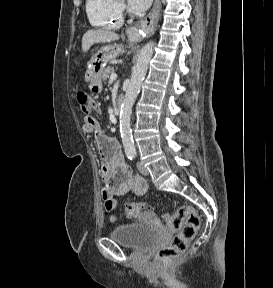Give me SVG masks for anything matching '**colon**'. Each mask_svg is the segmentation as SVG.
<instances>
[{
  "label": "colon",
  "instance_id": "1",
  "mask_svg": "<svg viewBox=\"0 0 273 288\" xmlns=\"http://www.w3.org/2000/svg\"><path fill=\"white\" fill-rule=\"evenodd\" d=\"M78 102L86 114L99 111L96 102L86 93L78 95ZM144 207L142 203H130L125 207V214L129 218H135ZM163 220L166 226L176 234L169 245L156 253L155 262L159 265H168L186 252L200 227V217L192 206L182 205L174 213L165 214Z\"/></svg>",
  "mask_w": 273,
  "mask_h": 288
}]
</instances>
